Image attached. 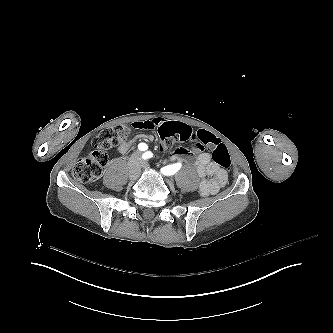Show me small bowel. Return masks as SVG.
Listing matches in <instances>:
<instances>
[{
	"instance_id": "obj_1",
	"label": "small bowel",
	"mask_w": 333,
	"mask_h": 333,
	"mask_svg": "<svg viewBox=\"0 0 333 333\" xmlns=\"http://www.w3.org/2000/svg\"><path fill=\"white\" fill-rule=\"evenodd\" d=\"M166 122L170 121L156 117L148 120L135 121L133 123V127L139 130L160 129L161 125ZM203 132L206 131H200L197 132V134H202ZM153 139V135L139 134L135 138L119 144L117 150L122 155H125L136 143L150 142ZM169 157L172 161L186 163L189 162L192 158L190 152L185 148L175 149L170 153ZM195 169L197 175L202 178L199 184V193L203 197L216 194L227 181L226 171L220 168L215 162H213L211 156L208 153H201L196 157Z\"/></svg>"
}]
</instances>
